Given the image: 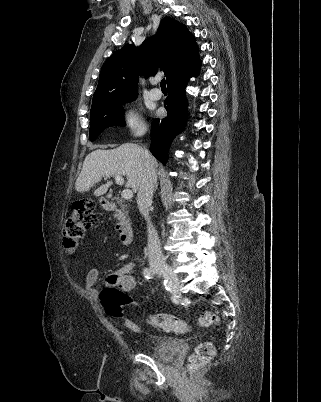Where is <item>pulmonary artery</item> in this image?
<instances>
[{
    "instance_id": "1",
    "label": "pulmonary artery",
    "mask_w": 321,
    "mask_h": 402,
    "mask_svg": "<svg viewBox=\"0 0 321 402\" xmlns=\"http://www.w3.org/2000/svg\"><path fill=\"white\" fill-rule=\"evenodd\" d=\"M151 84H152L153 86H155V85L157 84V80H153V81L151 82ZM161 95H162V93H161V91H160L158 88L153 87V88H151V89L149 90V97H150L151 99H153V100H159V99L161 98Z\"/></svg>"
}]
</instances>
